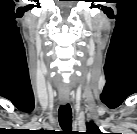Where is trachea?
<instances>
[{
  "label": "trachea",
  "instance_id": "obj_1",
  "mask_svg": "<svg viewBox=\"0 0 137 134\" xmlns=\"http://www.w3.org/2000/svg\"><path fill=\"white\" fill-rule=\"evenodd\" d=\"M58 119H59L60 126L64 131L71 130L72 111L68 103L60 106L59 111H58Z\"/></svg>",
  "mask_w": 137,
  "mask_h": 134
}]
</instances>
